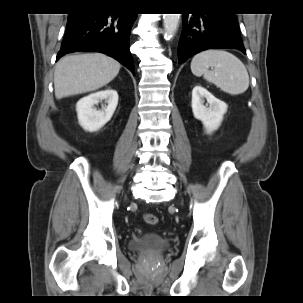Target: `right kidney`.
<instances>
[{"mask_svg":"<svg viewBox=\"0 0 303 303\" xmlns=\"http://www.w3.org/2000/svg\"><path fill=\"white\" fill-rule=\"evenodd\" d=\"M105 100L107 105L97 110L95 105ZM118 104V93L113 89H106L92 93L80 99L76 104L79 124L89 132L98 131L110 121Z\"/></svg>","mask_w":303,"mask_h":303,"instance_id":"obj_1","label":"right kidney"}]
</instances>
